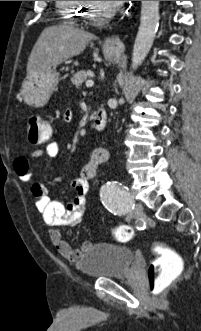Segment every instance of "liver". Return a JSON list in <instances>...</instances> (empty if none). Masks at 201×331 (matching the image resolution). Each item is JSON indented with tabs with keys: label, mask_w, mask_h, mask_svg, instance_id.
I'll return each instance as SVG.
<instances>
[{
	"label": "liver",
	"mask_w": 201,
	"mask_h": 331,
	"mask_svg": "<svg viewBox=\"0 0 201 331\" xmlns=\"http://www.w3.org/2000/svg\"><path fill=\"white\" fill-rule=\"evenodd\" d=\"M95 39V35L69 23L45 28L29 56L27 77L81 54L88 42Z\"/></svg>",
	"instance_id": "liver-1"
}]
</instances>
